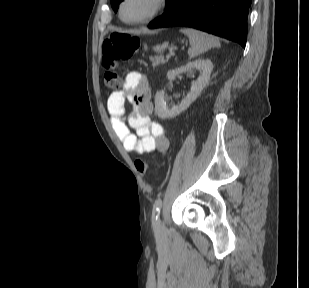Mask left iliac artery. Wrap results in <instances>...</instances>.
<instances>
[{"instance_id": "44dca946", "label": "left iliac artery", "mask_w": 309, "mask_h": 288, "mask_svg": "<svg viewBox=\"0 0 309 288\" xmlns=\"http://www.w3.org/2000/svg\"><path fill=\"white\" fill-rule=\"evenodd\" d=\"M161 207H162V200L157 199L153 205L152 210V223L154 227L158 224Z\"/></svg>"}]
</instances>
